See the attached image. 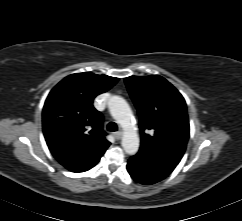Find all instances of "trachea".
<instances>
[{"label": "trachea", "instance_id": "trachea-1", "mask_svg": "<svg viewBox=\"0 0 242 221\" xmlns=\"http://www.w3.org/2000/svg\"><path fill=\"white\" fill-rule=\"evenodd\" d=\"M107 130L111 132L117 131L118 130L117 124L115 122L108 123Z\"/></svg>", "mask_w": 242, "mask_h": 221}]
</instances>
